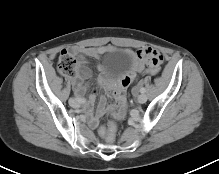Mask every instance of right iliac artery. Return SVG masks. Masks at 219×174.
Returning a JSON list of instances; mask_svg holds the SVG:
<instances>
[{
    "instance_id": "right-iliac-artery-1",
    "label": "right iliac artery",
    "mask_w": 219,
    "mask_h": 174,
    "mask_svg": "<svg viewBox=\"0 0 219 174\" xmlns=\"http://www.w3.org/2000/svg\"><path fill=\"white\" fill-rule=\"evenodd\" d=\"M76 100L79 102V103H85L86 102V100L85 99H83V98H76Z\"/></svg>"
}]
</instances>
